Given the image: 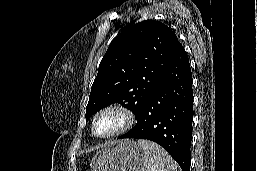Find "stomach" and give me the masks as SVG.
I'll use <instances>...</instances> for the list:
<instances>
[{
    "instance_id": "obj_1",
    "label": "stomach",
    "mask_w": 257,
    "mask_h": 171,
    "mask_svg": "<svg viewBox=\"0 0 257 171\" xmlns=\"http://www.w3.org/2000/svg\"><path fill=\"white\" fill-rule=\"evenodd\" d=\"M144 149L135 141L126 140L117 147L103 149L91 161V171H141Z\"/></svg>"
}]
</instances>
